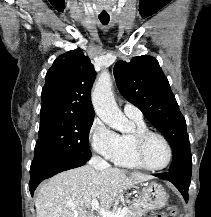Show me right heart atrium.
Wrapping results in <instances>:
<instances>
[{"label": "right heart atrium", "instance_id": "right-heart-atrium-1", "mask_svg": "<svg viewBox=\"0 0 211 217\" xmlns=\"http://www.w3.org/2000/svg\"><path fill=\"white\" fill-rule=\"evenodd\" d=\"M88 138L93 151L112 160L118 148L119 135L102 120L95 118L89 128Z\"/></svg>", "mask_w": 211, "mask_h": 217}]
</instances>
